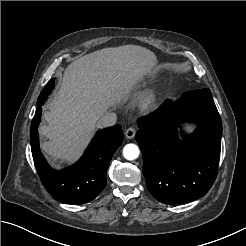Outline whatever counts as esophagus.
Listing matches in <instances>:
<instances>
[{"instance_id": "esophagus-1", "label": "esophagus", "mask_w": 246, "mask_h": 246, "mask_svg": "<svg viewBox=\"0 0 246 246\" xmlns=\"http://www.w3.org/2000/svg\"><path fill=\"white\" fill-rule=\"evenodd\" d=\"M136 134V130L134 128H128L125 131V136L127 139H133Z\"/></svg>"}]
</instances>
